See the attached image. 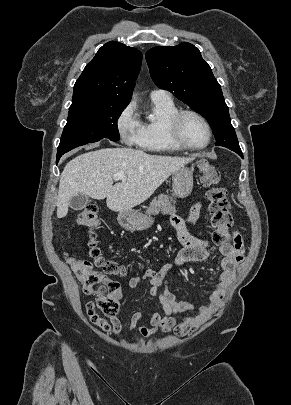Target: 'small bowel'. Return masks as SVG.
Instances as JSON below:
<instances>
[{
	"label": "small bowel",
	"instance_id": "c3829d8e",
	"mask_svg": "<svg viewBox=\"0 0 291 405\" xmlns=\"http://www.w3.org/2000/svg\"><path fill=\"white\" fill-rule=\"evenodd\" d=\"M201 208L200 202L195 203L186 220L179 216L172 217V225L176 229L177 238L183 246L176 257L175 264H165L157 271L147 269L129 280L128 286L131 289L136 288L143 280H149L150 295L154 298L157 297L163 307V314L153 313L148 319V325L143 324L141 312H134L130 317V331L137 330L141 336L148 338L158 332H168L173 329L176 335L185 336L196 331L218 309L227 289L235 278L237 267L244 259V244L238 233L233 234L232 244L218 247L219 253L223 256L220 263L221 273L209 283L213 286V290L205 304L196 307L192 303L176 301L175 296L168 288L167 275L174 266L179 267L188 262L204 261L210 254V242L207 239L191 235L187 230V224H194L198 220ZM86 312L91 321L103 331L113 332L116 335L121 333L122 325L116 315L110 316L109 321L99 317L94 304L91 302L86 305ZM190 312L192 314L185 315ZM179 315L184 316L178 322L177 316Z\"/></svg>",
	"mask_w": 291,
	"mask_h": 405
}]
</instances>
